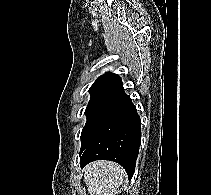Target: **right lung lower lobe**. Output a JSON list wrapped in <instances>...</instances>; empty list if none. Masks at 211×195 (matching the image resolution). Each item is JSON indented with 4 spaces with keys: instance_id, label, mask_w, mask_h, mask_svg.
I'll return each instance as SVG.
<instances>
[{
    "instance_id": "98d812e1",
    "label": "right lung lower lobe",
    "mask_w": 211,
    "mask_h": 195,
    "mask_svg": "<svg viewBox=\"0 0 211 195\" xmlns=\"http://www.w3.org/2000/svg\"><path fill=\"white\" fill-rule=\"evenodd\" d=\"M141 144V120L130 97L121 89L113 94L81 143L83 168L95 160L119 163L131 179Z\"/></svg>"
}]
</instances>
